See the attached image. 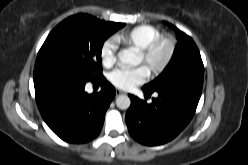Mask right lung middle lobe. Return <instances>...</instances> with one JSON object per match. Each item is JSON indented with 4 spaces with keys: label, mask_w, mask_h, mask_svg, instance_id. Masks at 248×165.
<instances>
[{
    "label": "right lung middle lobe",
    "mask_w": 248,
    "mask_h": 165,
    "mask_svg": "<svg viewBox=\"0 0 248 165\" xmlns=\"http://www.w3.org/2000/svg\"><path fill=\"white\" fill-rule=\"evenodd\" d=\"M124 26V23H99L84 14L65 19L50 32L39 50L34 79L66 72L84 80H97L103 76L104 41Z\"/></svg>",
    "instance_id": "1"
}]
</instances>
